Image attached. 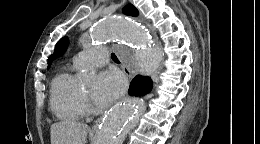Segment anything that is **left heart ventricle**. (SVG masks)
Masks as SVG:
<instances>
[{
	"label": "left heart ventricle",
	"mask_w": 260,
	"mask_h": 144,
	"mask_svg": "<svg viewBox=\"0 0 260 144\" xmlns=\"http://www.w3.org/2000/svg\"><path fill=\"white\" fill-rule=\"evenodd\" d=\"M92 92V88H87V89H85V93L86 94H90Z\"/></svg>",
	"instance_id": "left-heart-ventricle-1"
}]
</instances>
